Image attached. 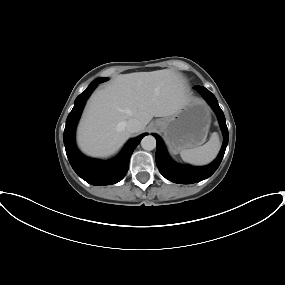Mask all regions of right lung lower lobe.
I'll list each match as a JSON object with an SVG mask.
<instances>
[{
    "label": "right lung lower lobe",
    "instance_id": "obj_1",
    "mask_svg": "<svg viewBox=\"0 0 285 285\" xmlns=\"http://www.w3.org/2000/svg\"><path fill=\"white\" fill-rule=\"evenodd\" d=\"M98 80H94L88 88L80 94L72 111L69 113L64 130V145L69 162L74 171L86 182L92 185H111L119 182L126 175L129 159L134 149L146 133L131 139L115 158L108 161L91 159L82 155L75 145V128L80 118L86 100L94 90Z\"/></svg>",
    "mask_w": 285,
    "mask_h": 285
}]
</instances>
